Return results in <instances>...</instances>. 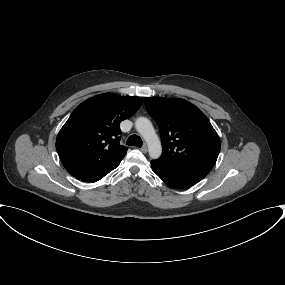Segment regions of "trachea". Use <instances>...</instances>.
Instances as JSON below:
<instances>
[{
    "mask_svg": "<svg viewBox=\"0 0 285 285\" xmlns=\"http://www.w3.org/2000/svg\"><path fill=\"white\" fill-rule=\"evenodd\" d=\"M127 145L129 146H136V147H142V139L138 136V135H131L128 139H127Z\"/></svg>",
    "mask_w": 285,
    "mask_h": 285,
    "instance_id": "trachea-1",
    "label": "trachea"
}]
</instances>
